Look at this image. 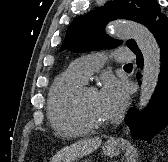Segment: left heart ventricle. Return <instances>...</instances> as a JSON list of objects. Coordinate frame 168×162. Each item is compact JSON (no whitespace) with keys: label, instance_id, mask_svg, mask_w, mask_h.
Listing matches in <instances>:
<instances>
[{"label":"left heart ventricle","instance_id":"b2bd125f","mask_svg":"<svg viewBox=\"0 0 168 162\" xmlns=\"http://www.w3.org/2000/svg\"><path fill=\"white\" fill-rule=\"evenodd\" d=\"M83 111L85 116L96 123L106 122V118L102 112L98 93L96 91H89L83 98Z\"/></svg>","mask_w":168,"mask_h":162}]
</instances>
